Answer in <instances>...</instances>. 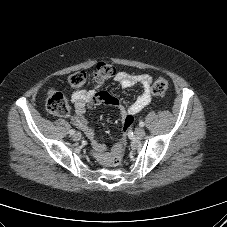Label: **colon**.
<instances>
[{
	"mask_svg": "<svg viewBox=\"0 0 227 227\" xmlns=\"http://www.w3.org/2000/svg\"><path fill=\"white\" fill-rule=\"evenodd\" d=\"M116 75V69L111 64L100 62L97 64L96 69L93 73V80L97 84H101L104 81L114 77ZM87 81V76L84 72H76L72 74L69 78L70 85L76 89L80 90ZM168 88V81L164 77H158L153 86L152 94L161 97L163 96ZM47 110L56 116H67L70 112V105L67 98L59 91L51 90L45 101ZM134 117L130 116L125 120L124 129L127 130L134 122ZM124 158L123 148H119L113 156L112 165L114 167H119Z\"/></svg>",
	"mask_w": 227,
	"mask_h": 227,
	"instance_id": "1",
	"label": "colon"
}]
</instances>
